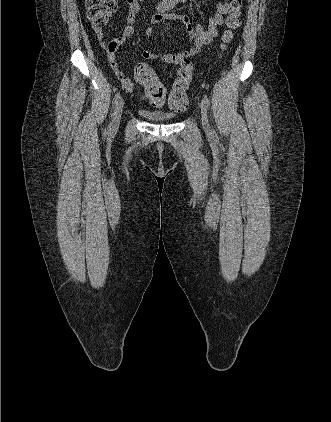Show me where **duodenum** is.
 <instances>
[{
    "instance_id": "410a0bca",
    "label": "duodenum",
    "mask_w": 331,
    "mask_h": 422,
    "mask_svg": "<svg viewBox=\"0 0 331 422\" xmlns=\"http://www.w3.org/2000/svg\"><path fill=\"white\" fill-rule=\"evenodd\" d=\"M167 4H168V6L169 7H173L177 2H178V0H164Z\"/></svg>"
}]
</instances>
